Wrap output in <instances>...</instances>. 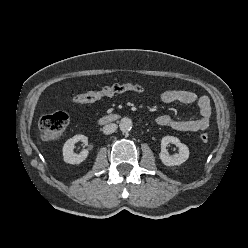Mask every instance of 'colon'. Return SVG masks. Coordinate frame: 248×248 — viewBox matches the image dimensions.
<instances>
[{"instance_id":"colon-1","label":"colon","mask_w":248,"mask_h":248,"mask_svg":"<svg viewBox=\"0 0 248 248\" xmlns=\"http://www.w3.org/2000/svg\"><path fill=\"white\" fill-rule=\"evenodd\" d=\"M143 88L135 83H114L112 85L104 86L99 89H94L73 96V101L76 103H94L101 100L112 98L116 95L125 92H141ZM68 125V116L63 112H56L53 114L41 117L38 127L41 137L46 141H54L61 137ZM202 142H208L209 136L207 133L200 135Z\"/></svg>"}]
</instances>
